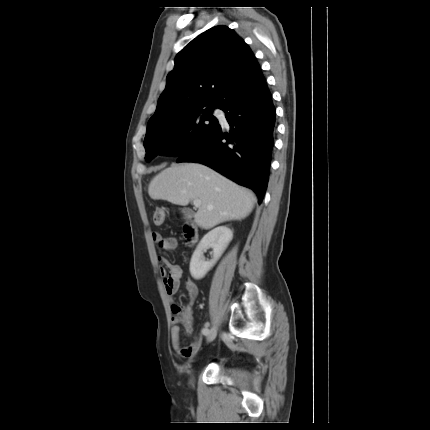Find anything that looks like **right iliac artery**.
I'll return each mask as SVG.
<instances>
[{
	"label": "right iliac artery",
	"mask_w": 430,
	"mask_h": 430,
	"mask_svg": "<svg viewBox=\"0 0 430 430\" xmlns=\"http://www.w3.org/2000/svg\"><path fill=\"white\" fill-rule=\"evenodd\" d=\"M208 332H209V329H206V330H204L202 333H203L204 335H207V334H208Z\"/></svg>",
	"instance_id": "right-iliac-artery-1"
}]
</instances>
